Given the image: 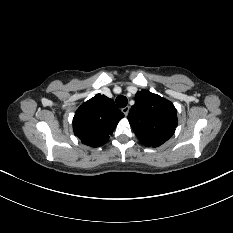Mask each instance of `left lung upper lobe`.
I'll list each match as a JSON object with an SVG mask.
<instances>
[{"label": "left lung upper lobe", "instance_id": "obj_1", "mask_svg": "<svg viewBox=\"0 0 233 233\" xmlns=\"http://www.w3.org/2000/svg\"><path fill=\"white\" fill-rule=\"evenodd\" d=\"M174 105L147 90L136 93L135 104L128 114L129 123L139 141L147 147H158L166 142L177 127Z\"/></svg>", "mask_w": 233, "mask_h": 233}]
</instances>
